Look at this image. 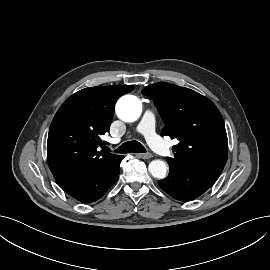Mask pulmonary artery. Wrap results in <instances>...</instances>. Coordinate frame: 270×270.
<instances>
[{"mask_svg": "<svg viewBox=\"0 0 270 270\" xmlns=\"http://www.w3.org/2000/svg\"><path fill=\"white\" fill-rule=\"evenodd\" d=\"M138 131L144 135L151 147L162 156H169L170 148L163 142L156 131V120L154 114L147 110L139 125Z\"/></svg>", "mask_w": 270, "mask_h": 270, "instance_id": "e3ab8cb5", "label": "pulmonary artery"}]
</instances>
